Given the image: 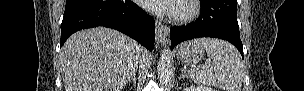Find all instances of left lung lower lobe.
<instances>
[{"label": "left lung lower lobe", "instance_id": "0a47b994", "mask_svg": "<svg viewBox=\"0 0 304 91\" xmlns=\"http://www.w3.org/2000/svg\"><path fill=\"white\" fill-rule=\"evenodd\" d=\"M200 3V17L196 21L170 29L171 49L185 40L214 37L232 43L243 57L237 21V0H200Z\"/></svg>", "mask_w": 304, "mask_h": 91}]
</instances>
